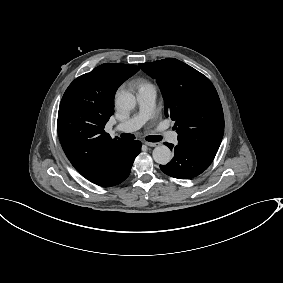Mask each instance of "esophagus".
Returning a JSON list of instances; mask_svg holds the SVG:
<instances>
[{
  "label": "esophagus",
  "mask_w": 283,
  "mask_h": 283,
  "mask_svg": "<svg viewBox=\"0 0 283 283\" xmlns=\"http://www.w3.org/2000/svg\"><path fill=\"white\" fill-rule=\"evenodd\" d=\"M145 144L150 147H157L160 145L159 142H145Z\"/></svg>",
  "instance_id": "obj_1"
}]
</instances>
